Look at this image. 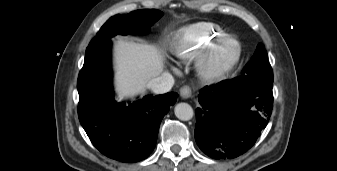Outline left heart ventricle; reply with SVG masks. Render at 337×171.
<instances>
[{"label":"left heart ventricle","mask_w":337,"mask_h":171,"mask_svg":"<svg viewBox=\"0 0 337 171\" xmlns=\"http://www.w3.org/2000/svg\"><path fill=\"white\" fill-rule=\"evenodd\" d=\"M232 55H233V46L230 44L226 45L216 53L215 62L218 65H222L225 62H227Z\"/></svg>","instance_id":"b2bd125f"}]
</instances>
